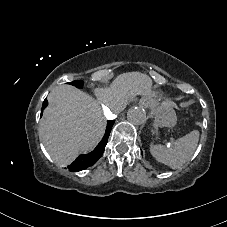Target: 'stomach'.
<instances>
[{
    "mask_svg": "<svg viewBox=\"0 0 227 227\" xmlns=\"http://www.w3.org/2000/svg\"><path fill=\"white\" fill-rule=\"evenodd\" d=\"M154 124L157 127H173L177 116L173 108L165 104L153 103Z\"/></svg>",
    "mask_w": 227,
    "mask_h": 227,
    "instance_id": "obj_1",
    "label": "stomach"
}]
</instances>
